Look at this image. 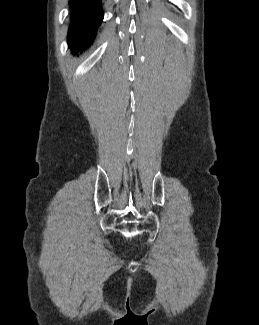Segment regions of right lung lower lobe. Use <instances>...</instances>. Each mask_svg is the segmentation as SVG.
Listing matches in <instances>:
<instances>
[{"instance_id": "obj_1", "label": "right lung lower lobe", "mask_w": 259, "mask_h": 325, "mask_svg": "<svg viewBox=\"0 0 259 325\" xmlns=\"http://www.w3.org/2000/svg\"><path fill=\"white\" fill-rule=\"evenodd\" d=\"M68 45L73 52L86 50L103 20L101 0H69Z\"/></svg>"}]
</instances>
